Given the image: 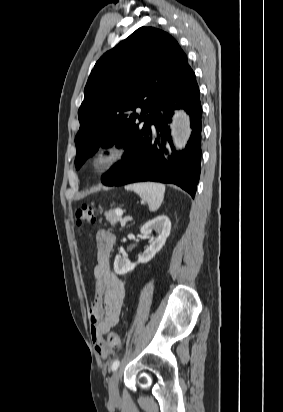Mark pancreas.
<instances>
[{
	"instance_id": "pancreas-1",
	"label": "pancreas",
	"mask_w": 283,
	"mask_h": 412,
	"mask_svg": "<svg viewBox=\"0 0 283 412\" xmlns=\"http://www.w3.org/2000/svg\"><path fill=\"white\" fill-rule=\"evenodd\" d=\"M105 217L112 226H115L117 222L121 220V217L116 214L115 210L106 212Z\"/></svg>"
}]
</instances>
